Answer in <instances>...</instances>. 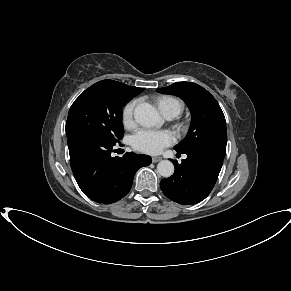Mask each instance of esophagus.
<instances>
[{
  "mask_svg": "<svg viewBox=\"0 0 291 291\" xmlns=\"http://www.w3.org/2000/svg\"><path fill=\"white\" fill-rule=\"evenodd\" d=\"M160 160H162V157H160V156H154V157H152V162L153 163H156V162H158Z\"/></svg>",
  "mask_w": 291,
  "mask_h": 291,
  "instance_id": "34e87169",
  "label": "esophagus"
}]
</instances>
